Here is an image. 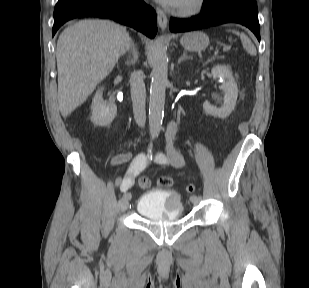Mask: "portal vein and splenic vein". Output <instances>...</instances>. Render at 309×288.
Wrapping results in <instances>:
<instances>
[{"label":"portal vein and splenic vein","instance_id":"obj_1","mask_svg":"<svg viewBox=\"0 0 309 288\" xmlns=\"http://www.w3.org/2000/svg\"><path fill=\"white\" fill-rule=\"evenodd\" d=\"M230 50V47H228V46H225L224 48H223V52H227V51H229Z\"/></svg>","mask_w":309,"mask_h":288}]
</instances>
